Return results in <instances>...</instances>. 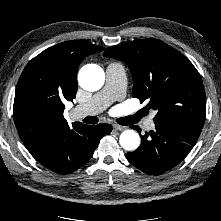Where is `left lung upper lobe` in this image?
Instances as JSON below:
<instances>
[{
	"label": "left lung upper lobe",
	"mask_w": 221,
	"mask_h": 221,
	"mask_svg": "<svg viewBox=\"0 0 221 221\" xmlns=\"http://www.w3.org/2000/svg\"><path fill=\"white\" fill-rule=\"evenodd\" d=\"M104 57L125 62L134 81L132 95L157 111L155 125L200 134L206 116L200 74L183 54L155 38L111 46Z\"/></svg>",
	"instance_id": "left-lung-upper-lobe-1"
}]
</instances>
